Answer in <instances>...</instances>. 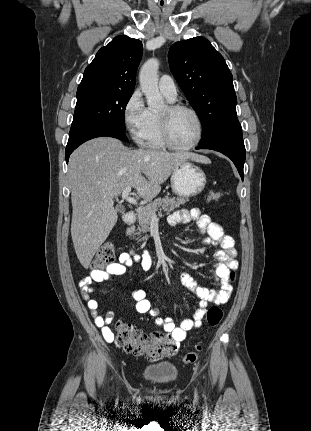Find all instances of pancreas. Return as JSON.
<instances>
[{
    "instance_id": "cf45deb5",
    "label": "pancreas",
    "mask_w": 311,
    "mask_h": 431,
    "mask_svg": "<svg viewBox=\"0 0 311 431\" xmlns=\"http://www.w3.org/2000/svg\"><path fill=\"white\" fill-rule=\"evenodd\" d=\"M189 202V198H171V196H165V198H157L151 204H147L144 208H140V210H136V216L138 217L139 223V231L137 233H144V231H149L150 223L152 221V217L156 212H158L159 216H162L161 212H174L183 204ZM135 233V225H130L126 229V235H134ZM145 237H141L138 241H142Z\"/></svg>"
}]
</instances>
